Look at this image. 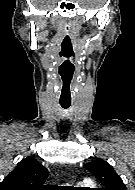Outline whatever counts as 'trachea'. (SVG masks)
<instances>
[{
	"label": "trachea",
	"instance_id": "trachea-1",
	"mask_svg": "<svg viewBox=\"0 0 135 190\" xmlns=\"http://www.w3.org/2000/svg\"><path fill=\"white\" fill-rule=\"evenodd\" d=\"M61 107L64 109H68L71 105V103H60Z\"/></svg>",
	"mask_w": 135,
	"mask_h": 190
}]
</instances>
